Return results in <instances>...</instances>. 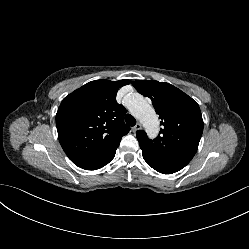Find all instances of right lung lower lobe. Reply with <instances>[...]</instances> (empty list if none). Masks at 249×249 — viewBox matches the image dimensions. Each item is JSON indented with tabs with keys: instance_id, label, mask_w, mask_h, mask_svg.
Here are the masks:
<instances>
[{
	"instance_id": "obj_1",
	"label": "right lung lower lobe",
	"mask_w": 249,
	"mask_h": 249,
	"mask_svg": "<svg viewBox=\"0 0 249 249\" xmlns=\"http://www.w3.org/2000/svg\"><path fill=\"white\" fill-rule=\"evenodd\" d=\"M118 146H115L109 150H106L102 153L95 154V155L71 157L70 160L76 166L82 169L96 170V169L102 168L114 158L116 149L118 148Z\"/></svg>"
}]
</instances>
